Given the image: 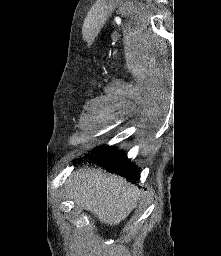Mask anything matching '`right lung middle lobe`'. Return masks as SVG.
Here are the masks:
<instances>
[{
	"label": "right lung middle lobe",
	"instance_id": "obj_1",
	"mask_svg": "<svg viewBox=\"0 0 221 256\" xmlns=\"http://www.w3.org/2000/svg\"><path fill=\"white\" fill-rule=\"evenodd\" d=\"M105 147H106V146L98 147V148L94 149V150L92 151V153H91V154H88L86 157H91V156L95 155L96 153H98V152H100L102 149H104ZM78 160H80V159H78Z\"/></svg>",
	"mask_w": 221,
	"mask_h": 256
}]
</instances>
